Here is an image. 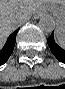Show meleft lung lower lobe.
<instances>
[{"label": "left lung lower lobe", "instance_id": "1", "mask_svg": "<svg viewBox=\"0 0 65 89\" xmlns=\"http://www.w3.org/2000/svg\"><path fill=\"white\" fill-rule=\"evenodd\" d=\"M47 43L50 47L51 52L55 55V57L60 62L65 63V48H61L55 43L53 33L47 39Z\"/></svg>", "mask_w": 65, "mask_h": 89}]
</instances>
